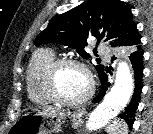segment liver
Masks as SVG:
<instances>
[{"label":"liver","mask_w":153,"mask_h":134,"mask_svg":"<svg viewBox=\"0 0 153 134\" xmlns=\"http://www.w3.org/2000/svg\"><path fill=\"white\" fill-rule=\"evenodd\" d=\"M44 110H47L52 114H62L64 112L60 108H53V107H48L47 109H44Z\"/></svg>","instance_id":"1"}]
</instances>
